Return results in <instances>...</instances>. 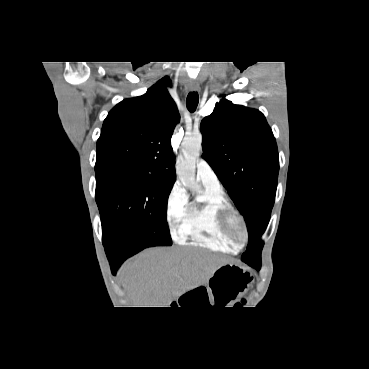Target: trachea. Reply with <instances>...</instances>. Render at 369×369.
Wrapping results in <instances>:
<instances>
[{"label": "trachea", "mask_w": 369, "mask_h": 369, "mask_svg": "<svg viewBox=\"0 0 369 369\" xmlns=\"http://www.w3.org/2000/svg\"><path fill=\"white\" fill-rule=\"evenodd\" d=\"M199 102V96L197 92H190L187 96L186 105L188 110L193 113L198 105Z\"/></svg>", "instance_id": "3493384b"}]
</instances>
